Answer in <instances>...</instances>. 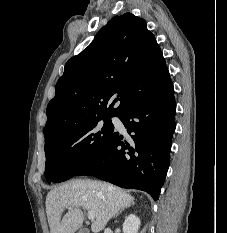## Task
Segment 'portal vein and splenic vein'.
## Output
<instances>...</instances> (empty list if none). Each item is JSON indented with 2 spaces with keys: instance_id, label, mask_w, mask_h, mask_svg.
I'll list each match as a JSON object with an SVG mask.
<instances>
[{
  "instance_id": "obj_1",
  "label": "portal vein and splenic vein",
  "mask_w": 227,
  "mask_h": 233,
  "mask_svg": "<svg viewBox=\"0 0 227 233\" xmlns=\"http://www.w3.org/2000/svg\"><path fill=\"white\" fill-rule=\"evenodd\" d=\"M89 220H94L95 219V214L93 212H88L87 214Z\"/></svg>"
}]
</instances>
